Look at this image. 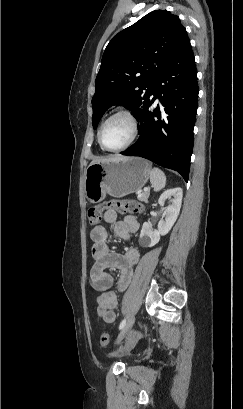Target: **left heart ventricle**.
Returning <instances> with one entry per match:
<instances>
[{"label":"left heart ventricle","mask_w":243,"mask_h":409,"mask_svg":"<svg viewBox=\"0 0 243 409\" xmlns=\"http://www.w3.org/2000/svg\"><path fill=\"white\" fill-rule=\"evenodd\" d=\"M131 136V124L124 117H117L109 121L103 128L102 139L104 144L112 149L124 145Z\"/></svg>","instance_id":"left-heart-ventricle-1"}]
</instances>
